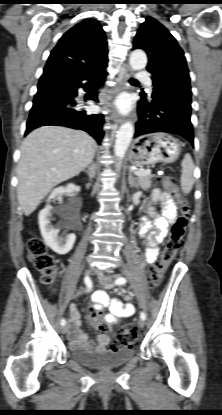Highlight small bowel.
<instances>
[{"label": "small bowel", "instance_id": "c3829d8e", "mask_svg": "<svg viewBox=\"0 0 222 415\" xmlns=\"http://www.w3.org/2000/svg\"><path fill=\"white\" fill-rule=\"evenodd\" d=\"M152 204H159L161 212L153 220L145 219L141 225L140 234L147 240L144 264L153 263L158 256L159 244L164 239L167 228L177 216V207L172 197L155 189L151 196ZM92 301L99 309L108 308L109 311L104 315V320L108 324L117 323L123 318L130 317L134 314L135 308L131 303H123L118 298H110L105 291L99 290L93 293ZM69 322L72 326L69 335L71 344L74 347H80L84 350L104 351L109 344V336L104 333L97 335L96 341L91 342L88 336L81 330L80 313L75 304L69 306Z\"/></svg>", "mask_w": 222, "mask_h": 415}]
</instances>
